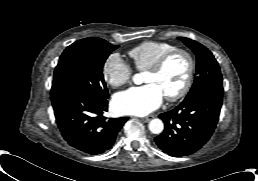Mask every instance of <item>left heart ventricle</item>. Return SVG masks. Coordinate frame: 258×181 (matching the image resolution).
Returning a JSON list of instances; mask_svg holds the SVG:
<instances>
[{
    "label": "left heart ventricle",
    "mask_w": 258,
    "mask_h": 181,
    "mask_svg": "<svg viewBox=\"0 0 258 181\" xmlns=\"http://www.w3.org/2000/svg\"><path fill=\"white\" fill-rule=\"evenodd\" d=\"M187 71V59L183 55H176L159 73L146 72L144 82L156 84L164 95L174 94L183 86Z\"/></svg>",
    "instance_id": "b2bd125f"
}]
</instances>
